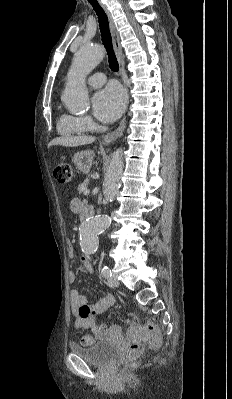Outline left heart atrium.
I'll return each mask as SVG.
<instances>
[{"instance_id":"39dd6f15","label":"left heart atrium","mask_w":232,"mask_h":399,"mask_svg":"<svg viewBox=\"0 0 232 399\" xmlns=\"http://www.w3.org/2000/svg\"><path fill=\"white\" fill-rule=\"evenodd\" d=\"M123 93L116 87L109 86L93 98L94 115L104 123L116 121L124 110Z\"/></svg>"}]
</instances>
